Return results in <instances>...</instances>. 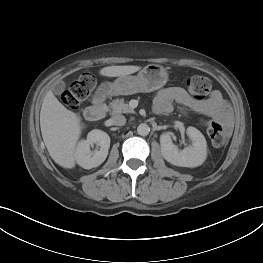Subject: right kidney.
<instances>
[{
    "mask_svg": "<svg viewBox=\"0 0 263 263\" xmlns=\"http://www.w3.org/2000/svg\"><path fill=\"white\" fill-rule=\"evenodd\" d=\"M96 144L100 147L99 150L92 152L90 146ZM110 147V137L107 133L94 129L87 135L86 140L78 143L76 148L75 157L79 166L84 169H91L102 164L107 155Z\"/></svg>",
    "mask_w": 263,
    "mask_h": 263,
    "instance_id": "right-kidney-1",
    "label": "right kidney"
}]
</instances>
